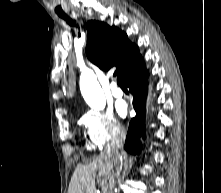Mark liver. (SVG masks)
Returning <instances> with one entry per match:
<instances>
[{
  "label": "liver",
  "instance_id": "1",
  "mask_svg": "<svg viewBox=\"0 0 221 193\" xmlns=\"http://www.w3.org/2000/svg\"><path fill=\"white\" fill-rule=\"evenodd\" d=\"M114 156L101 152L86 165H78L72 175L68 193H95V176L111 177L114 173Z\"/></svg>",
  "mask_w": 221,
  "mask_h": 193
}]
</instances>
